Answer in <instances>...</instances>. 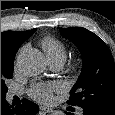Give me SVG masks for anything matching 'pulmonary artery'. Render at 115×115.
Wrapping results in <instances>:
<instances>
[{"mask_svg":"<svg viewBox=\"0 0 115 115\" xmlns=\"http://www.w3.org/2000/svg\"><path fill=\"white\" fill-rule=\"evenodd\" d=\"M50 64H51L52 68L55 69V70L61 69V67L63 65V63L61 61H52V62H50ZM17 94H18L17 91L11 90L10 93H9V97L11 98V97H13L14 95H17Z\"/></svg>","mask_w":115,"mask_h":115,"instance_id":"1","label":"pulmonary artery"}]
</instances>
